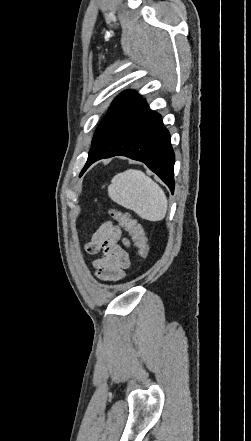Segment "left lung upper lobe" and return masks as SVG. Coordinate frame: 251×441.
I'll use <instances>...</instances> for the list:
<instances>
[{
  "instance_id": "left-lung-upper-lobe-1",
  "label": "left lung upper lobe",
  "mask_w": 251,
  "mask_h": 441,
  "mask_svg": "<svg viewBox=\"0 0 251 441\" xmlns=\"http://www.w3.org/2000/svg\"><path fill=\"white\" fill-rule=\"evenodd\" d=\"M139 99H141L140 96L134 91L122 92L112 102L110 110L105 117L126 114Z\"/></svg>"
}]
</instances>
